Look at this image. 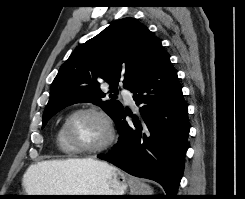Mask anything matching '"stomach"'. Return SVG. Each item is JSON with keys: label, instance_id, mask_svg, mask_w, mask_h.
<instances>
[{"label": "stomach", "instance_id": "obj_1", "mask_svg": "<svg viewBox=\"0 0 245 199\" xmlns=\"http://www.w3.org/2000/svg\"><path fill=\"white\" fill-rule=\"evenodd\" d=\"M58 181L66 192L46 195H124L128 187V177L123 172L98 160H95V164L79 168L73 174L60 177ZM106 197L111 196L37 197V199H96Z\"/></svg>", "mask_w": 245, "mask_h": 199}]
</instances>
